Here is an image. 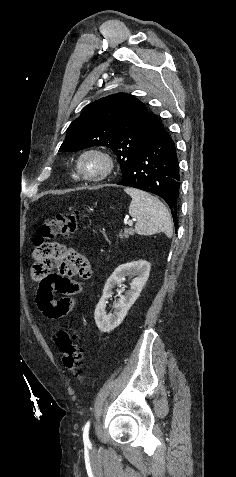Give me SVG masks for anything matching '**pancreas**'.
<instances>
[{
	"mask_svg": "<svg viewBox=\"0 0 236 477\" xmlns=\"http://www.w3.org/2000/svg\"><path fill=\"white\" fill-rule=\"evenodd\" d=\"M133 234H134V230H133V229H125L123 233L121 232V233L119 234V237H120V238H128L129 235H133Z\"/></svg>",
	"mask_w": 236,
	"mask_h": 477,
	"instance_id": "1",
	"label": "pancreas"
}]
</instances>
